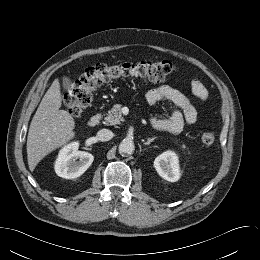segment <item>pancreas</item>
<instances>
[{
  "label": "pancreas",
  "mask_w": 260,
  "mask_h": 260,
  "mask_svg": "<svg viewBox=\"0 0 260 260\" xmlns=\"http://www.w3.org/2000/svg\"><path fill=\"white\" fill-rule=\"evenodd\" d=\"M123 120L122 118V105L115 104L111 110L108 111L106 114V117L104 118V124L106 125H116L120 124V122ZM182 148L187 147L183 144Z\"/></svg>",
  "instance_id": "obj_1"
}]
</instances>
